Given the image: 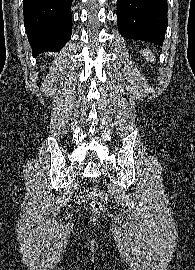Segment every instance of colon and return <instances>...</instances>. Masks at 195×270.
<instances>
[{
  "label": "colon",
  "instance_id": "obj_1",
  "mask_svg": "<svg viewBox=\"0 0 195 270\" xmlns=\"http://www.w3.org/2000/svg\"><path fill=\"white\" fill-rule=\"evenodd\" d=\"M91 196H95L97 198H99L101 200V202H107L108 201V195L103 192L100 191L96 188L91 189L90 191H81L79 192L76 197L75 200L77 203H84L86 201H88L90 199ZM90 210L93 213H99L102 210V205L100 202L97 201H92L90 202Z\"/></svg>",
  "mask_w": 195,
  "mask_h": 270
}]
</instances>
